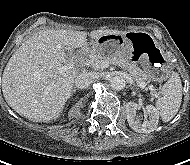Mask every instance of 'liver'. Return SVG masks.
Returning <instances> with one entry per match:
<instances>
[{
  "instance_id": "1",
  "label": "liver",
  "mask_w": 190,
  "mask_h": 165,
  "mask_svg": "<svg viewBox=\"0 0 190 165\" xmlns=\"http://www.w3.org/2000/svg\"><path fill=\"white\" fill-rule=\"evenodd\" d=\"M126 31L99 29L90 32L92 39L102 35H124ZM88 46L87 32L43 29L33 33L9 59L2 76V92L8 105L34 122H48L59 117L71 95L81 66L63 73L69 63L65 48ZM63 53L64 55H60Z\"/></svg>"
}]
</instances>
